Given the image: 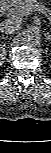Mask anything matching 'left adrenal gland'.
<instances>
[{"label": "left adrenal gland", "mask_w": 51, "mask_h": 153, "mask_svg": "<svg viewBox=\"0 0 51 153\" xmlns=\"http://www.w3.org/2000/svg\"><path fill=\"white\" fill-rule=\"evenodd\" d=\"M45 37H46V39L48 40V39L50 38V34H49V33H46V34H45Z\"/></svg>", "instance_id": "1"}]
</instances>
